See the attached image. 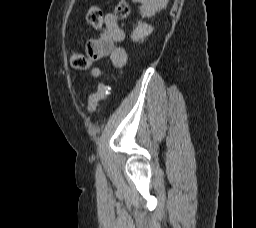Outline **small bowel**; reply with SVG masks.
Instances as JSON below:
<instances>
[{"label":"small bowel","instance_id":"c3829d8e","mask_svg":"<svg viewBox=\"0 0 256 228\" xmlns=\"http://www.w3.org/2000/svg\"><path fill=\"white\" fill-rule=\"evenodd\" d=\"M124 39L125 33L120 28L117 18L112 13H107L104 17L102 36L89 42L87 52L92 60L109 57L115 67H122L127 61V52L120 45ZM91 74L94 77H99L102 72L98 68H93Z\"/></svg>","mask_w":256,"mask_h":228}]
</instances>
